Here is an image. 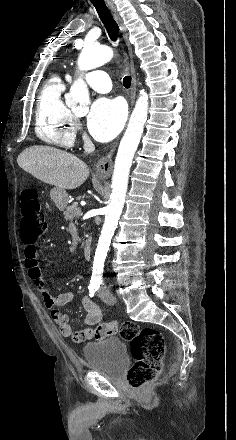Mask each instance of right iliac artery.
<instances>
[{"label": "right iliac artery", "instance_id": "1", "mask_svg": "<svg viewBox=\"0 0 236 440\" xmlns=\"http://www.w3.org/2000/svg\"><path fill=\"white\" fill-rule=\"evenodd\" d=\"M88 289H89V296H90V297H93L94 294H95V292L98 290V287H97V286H94V285H90V286L88 287Z\"/></svg>", "mask_w": 236, "mask_h": 440}]
</instances>
